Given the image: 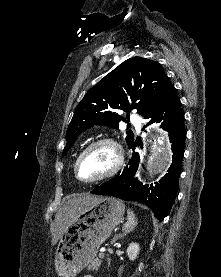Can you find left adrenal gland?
Listing matches in <instances>:
<instances>
[{
	"instance_id": "1",
	"label": "left adrenal gland",
	"mask_w": 221,
	"mask_h": 277,
	"mask_svg": "<svg viewBox=\"0 0 221 277\" xmlns=\"http://www.w3.org/2000/svg\"><path fill=\"white\" fill-rule=\"evenodd\" d=\"M123 235L119 234V235H115L111 241V243L115 242L118 238H121Z\"/></svg>"
}]
</instances>
